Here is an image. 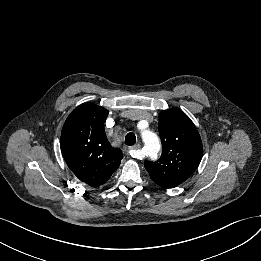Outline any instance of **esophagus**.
<instances>
[{
	"label": "esophagus",
	"instance_id": "1",
	"mask_svg": "<svg viewBox=\"0 0 261 261\" xmlns=\"http://www.w3.org/2000/svg\"><path fill=\"white\" fill-rule=\"evenodd\" d=\"M140 145L139 144H136V145H134L131 149H130V154H131V156L132 157H134V158H137V151L140 149Z\"/></svg>",
	"mask_w": 261,
	"mask_h": 261
}]
</instances>
